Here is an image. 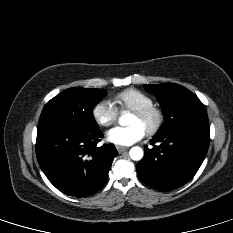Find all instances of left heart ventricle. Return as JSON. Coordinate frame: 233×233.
Listing matches in <instances>:
<instances>
[{"label": "left heart ventricle", "instance_id": "obj_1", "mask_svg": "<svg viewBox=\"0 0 233 233\" xmlns=\"http://www.w3.org/2000/svg\"><path fill=\"white\" fill-rule=\"evenodd\" d=\"M128 124H138L140 125L145 131L152 125V119H142L137 117L135 114H132L128 119Z\"/></svg>", "mask_w": 233, "mask_h": 233}]
</instances>
